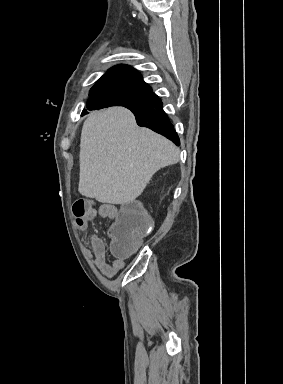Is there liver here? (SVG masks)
I'll return each mask as SVG.
<instances>
[{
	"label": "liver",
	"instance_id": "1",
	"mask_svg": "<svg viewBox=\"0 0 283 384\" xmlns=\"http://www.w3.org/2000/svg\"><path fill=\"white\" fill-rule=\"evenodd\" d=\"M179 154L167 138L139 128L126 108L91 112L81 132L78 192L102 204L133 202Z\"/></svg>",
	"mask_w": 283,
	"mask_h": 384
}]
</instances>
